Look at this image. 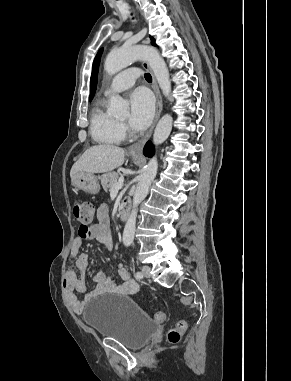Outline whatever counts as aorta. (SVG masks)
I'll return each instance as SVG.
<instances>
[{
    "label": "aorta",
    "instance_id": "obj_1",
    "mask_svg": "<svg viewBox=\"0 0 291 381\" xmlns=\"http://www.w3.org/2000/svg\"><path fill=\"white\" fill-rule=\"evenodd\" d=\"M136 60H145L148 62L163 94L169 96L171 93L169 71L165 61L154 47L134 45L112 50L106 57L104 69L108 74L112 75L126 68ZM107 112L112 116H127L129 113L127 102L122 97L113 95L110 98ZM172 122L173 118L170 114H165L159 120L153 135V143L155 146L162 144L168 138L172 130ZM157 169L158 161L156 157H153L148 162L137 184L133 196L132 211L123 231V243L125 246H129L133 242L136 229L137 207L147 196L151 182L157 174Z\"/></svg>",
    "mask_w": 291,
    "mask_h": 381
}]
</instances>
